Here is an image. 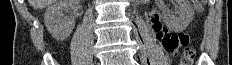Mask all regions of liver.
Listing matches in <instances>:
<instances>
[{"mask_svg":"<svg viewBox=\"0 0 232 65\" xmlns=\"http://www.w3.org/2000/svg\"><path fill=\"white\" fill-rule=\"evenodd\" d=\"M54 1L55 0H29V3L34 9H42L50 6Z\"/></svg>","mask_w":232,"mask_h":65,"instance_id":"1","label":"liver"}]
</instances>
